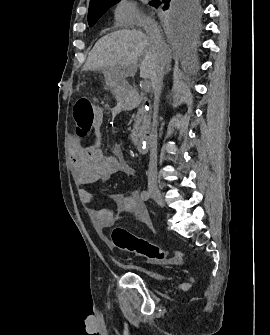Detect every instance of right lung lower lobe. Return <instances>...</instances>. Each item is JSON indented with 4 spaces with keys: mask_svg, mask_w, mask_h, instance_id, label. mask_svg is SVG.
Returning a JSON list of instances; mask_svg holds the SVG:
<instances>
[{
    "mask_svg": "<svg viewBox=\"0 0 270 335\" xmlns=\"http://www.w3.org/2000/svg\"><path fill=\"white\" fill-rule=\"evenodd\" d=\"M160 1H162V2H165V4H163V5H160V6H164V5H166V4H168V2H170V4L173 2L172 0H167V1H165V0H160Z\"/></svg>",
    "mask_w": 270,
    "mask_h": 335,
    "instance_id": "98d812e1",
    "label": "right lung lower lobe"
}]
</instances>
